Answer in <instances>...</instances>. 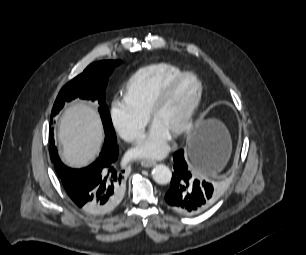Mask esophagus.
<instances>
[{"instance_id": "1", "label": "esophagus", "mask_w": 306, "mask_h": 255, "mask_svg": "<svg viewBox=\"0 0 306 255\" xmlns=\"http://www.w3.org/2000/svg\"><path fill=\"white\" fill-rule=\"evenodd\" d=\"M156 164V162L154 160H142L141 161V165L145 168H149L152 167Z\"/></svg>"}]
</instances>
